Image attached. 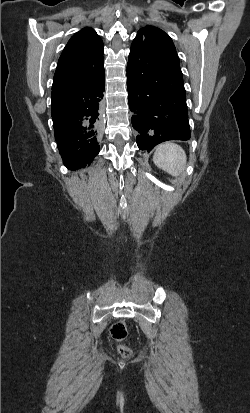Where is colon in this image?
Returning <instances> with one entry per match:
<instances>
[{
    "label": "colon",
    "instance_id": "colon-1",
    "mask_svg": "<svg viewBox=\"0 0 250 413\" xmlns=\"http://www.w3.org/2000/svg\"><path fill=\"white\" fill-rule=\"evenodd\" d=\"M110 335L111 338L118 343L119 354L124 358L131 357V348L123 343L128 335L127 326L125 322L117 321L116 323H114L110 329Z\"/></svg>",
    "mask_w": 250,
    "mask_h": 413
}]
</instances>
